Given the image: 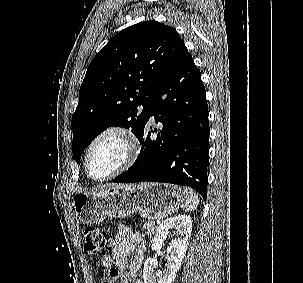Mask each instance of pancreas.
I'll return each mask as SVG.
<instances>
[{"mask_svg":"<svg viewBox=\"0 0 303 283\" xmlns=\"http://www.w3.org/2000/svg\"><path fill=\"white\" fill-rule=\"evenodd\" d=\"M153 223H154V221H148V222H145L144 225H143V228L146 230V233L149 236L154 234V231L156 229V226Z\"/></svg>","mask_w":303,"mask_h":283,"instance_id":"cf45deb5","label":"pancreas"}]
</instances>
